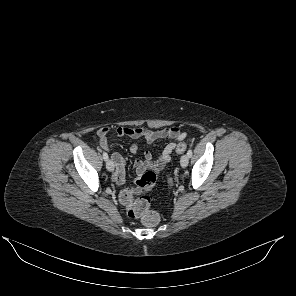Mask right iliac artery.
Returning <instances> with one entry per match:
<instances>
[{"label":"right iliac artery","instance_id":"1","mask_svg":"<svg viewBox=\"0 0 296 296\" xmlns=\"http://www.w3.org/2000/svg\"><path fill=\"white\" fill-rule=\"evenodd\" d=\"M103 159H104L105 161L108 160V154H107L106 152H103Z\"/></svg>","mask_w":296,"mask_h":296}]
</instances>
